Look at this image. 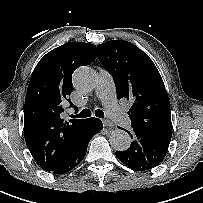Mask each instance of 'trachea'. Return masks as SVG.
<instances>
[{"label": "trachea", "instance_id": "1", "mask_svg": "<svg viewBox=\"0 0 203 203\" xmlns=\"http://www.w3.org/2000/svg\"><path fill=\"white\" fill-rule=\"evenodd\" d=\"M91 116V111L89 109L82 110L77 115H71V118H87ZM95 116L99 118H104V112L100 109L95 110Z\"/></svg>", "mask_w": 203, "mask_h": 203}]
</instances>
